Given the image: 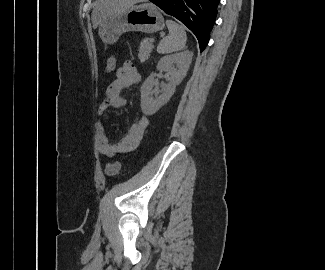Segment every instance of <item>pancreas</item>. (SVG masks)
Masks as SVG:
<instances>
[{"mask_svg": "<svg viewBox=\"0 0 325 270\" xmlns=\"http://www.w3.org/2000/svg\"><path fill=\"white\" fill-rule=\"evenodd\" d=\"M153 48H154V46L151 43L150 39H144L140 43L138 58L141 61H145L146 59L149 58L150 53L152 52Z\"/></svg>", "mask_w": 325, "mask_h": 270, "instance_id": "obj_1", "label": "pancreas"}]
</instances>
